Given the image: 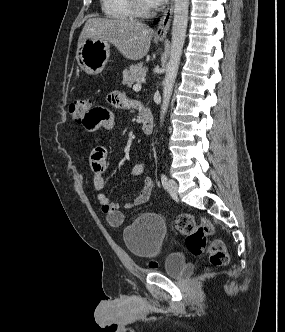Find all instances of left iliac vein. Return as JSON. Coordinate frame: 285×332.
Here are the masks:
<instances>
[{
  "label": "left iliac vein",
  "instance_id": "1",
  "mask_svg": "<svg viewBox=\"0 0 285 332\" xmlns=\"http://www.w3.org/2000/svg\"><path fill=\"white\" fill-rule=\"evenodd\" d=\"M168 191L173 198L178 196V184L175 180L169 179L168 181Z\"/></svg>",
  "mask_w": 285,
  "mask_h": 332
}]
</instances>
